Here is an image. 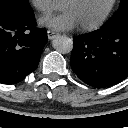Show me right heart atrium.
<instances>
[{"label": "right heart atrium", "mask_w": 128, "mask_h": 128, "mask_svg": "<svg viewBox=\"0 0 128 128\" xmlns=\"http://www.w3.org/2000/svg\"><path fill=\"white\" fill-rule=\"evenodd\" d=\"M29 2L41 13L50 12L56 4V0H29Z\"/></svg>", "instance_id": "d8ad5b80"}]
</instances>
